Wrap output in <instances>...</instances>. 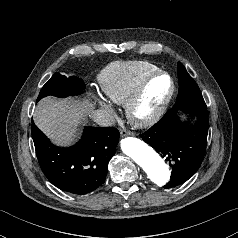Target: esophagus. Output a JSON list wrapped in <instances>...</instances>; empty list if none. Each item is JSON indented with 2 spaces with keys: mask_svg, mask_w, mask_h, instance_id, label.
Returning <instances> with one entry per match:
<instances>
[{
  "mask_svg": "<svg viewBox=\"0 0 238 238\" xmlns=\"http://www.w3.org/2000/svg\"><path fill=\"white\" fill-rule=\"evenodd\" d=\"M128 134H131V132H129V131L125 130V129L120 131V135H121L122 137H124V136H126V135H128Z\"/></svg>",
  "mask_w": 238,
  "mask_h": 238,
  "instance_id": "esophagus-1",
  "label": "esophagus"
}]
</instances>
